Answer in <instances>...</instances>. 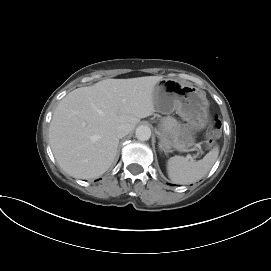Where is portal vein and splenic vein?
I'll list each match as a JSON object with an SVG mask.
<instances>
[{
	"label": "portal vein and splenic vein",
	"mask_w": 271,
	"mask_h": 271,
	"mask_svg": "<svg viewBox=\"0 0 271 271\" xmlns=\"http://www.w3.org/2000/svg\"><path fill=\"white\" fill-rule=\"evenodd\" d=\"M186 158H187V160H191V161H193V157L190 155V154H188L187 156H186Z\"/></svg>",
	"instance_id": "1"
}]
</instances>
